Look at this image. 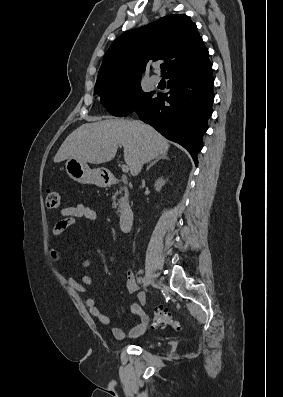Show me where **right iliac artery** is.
<instances>
[{
    "label": "right iliac artery",
    "instance_id": "right-iliac-artery-1",
    "mask_svg": "<svg viewBox=\"0 0 283 397\" xmlns=\"http://www.w3.org/2000/svg\"><path fill=\"white\" fill-rule=\"evenodd\" d=\"M137 281H138V283H143L144 282V278L143 277H139Z\"/></svg>",
    "mask_w": 283,
    "mask_h": 397
}]
</instances>
